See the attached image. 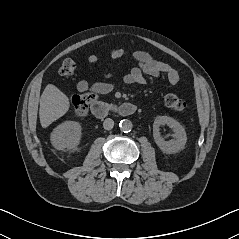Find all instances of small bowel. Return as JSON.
<instances>
[{"instance_id":"obj_1","label":"small bowel","mask_w":239,"mask_h":239,"mask_svg":"<svg viewBox=\"0 0 239 239\" xmlns=\"http://www.w3.org/2000/svg\"><path fill=\"white\" fill-rule=\"evenodd\" d=\"M126 55L123 48L113 49L110 53V57L113 61L122 59ZM130 56L136 61L137 66L133 67L127 74L124 75L123 81L125 84H144V75L151 77H159L164 74L167 77L168 82L171 85H176L180 76L179 73L169 66L168 64L153 58L147 52L141 50H135L130 53ZM98 61L96 54H91L88 57V62L94 64ZM112 72H108L105 75L106 81H99L90 84L84 79H80L77 84V90L80 92H92L96 94H106L114 90L115 84L110 81Z\"/></svg>"}]
</instances>
